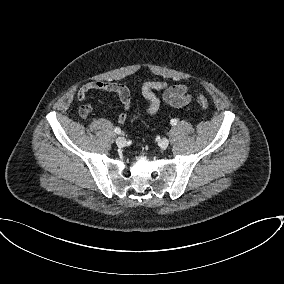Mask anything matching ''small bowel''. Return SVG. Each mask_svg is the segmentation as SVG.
<instances>
[{"mask_svg": "<svg viewBox=\"0 0 284 284\" xmlns=\"http://www.w3.org/2000/svg\"><path fill=\"white\" fill-rule=\"evenodd\" d=\"M91 91H102L114 93L119 97L121 102V111L117 117L118 123L126 121L130 107L132 89L124 84L110 83L103 81H89L83 84L78 92L77 99L81 103L79 115L81 118H87L92 112V106L86 103L88 93ZM162 91V99L156 92ZM142 96L147 100L148 105L144 108L146 115L152 116L157 114L162 106V102L172 108H182L192 101V95L185 84L170 85L166 81L150 80L141 86Z\"/></svg>", "mask_w": 284, "mask_h": 284, "instance_id": "small-bowel-1", "label": "small bowel"}]
</instances>
